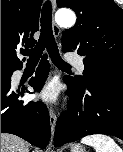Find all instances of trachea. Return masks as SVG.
<instances>
[{
	"mask_svg": "<svg viewBox=\"0 0 123 152\" xmlns=\"http://www.w3.org/2000/svg\"><path fill=\"white\" fill-rule=\"evenodd\" d=\"M51 20L52 7L51 3L47 1L44 4L41 14L40 38L34 48L24 51L23 54L29 56V59L27 61L28 64H37L44 49L46 48L51 61L55 66L62 69L71 68V66L63 61L59 55L57 44L53 36Z\"/></svg>",
	"mask_w": 123,
	"mask_h": 152,
	"instance_id": "1",
	"label": "trachea"
}]
</instances>
